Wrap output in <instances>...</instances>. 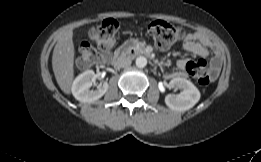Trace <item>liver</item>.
Listing matches in <instances>:
<instances>
[{
	"label": "liver",
	"mask_w": 261,
	"mask_h": 162,
	"mask_svg": "<svg viewBox=\"0 0 261 162\" xmlns=\"http://www.w3.org/2000/svg\"><path fill=\"white\" fill-rule=\"evenodd\" d=\"M74 55L73 29L62 30L53 50L52 69L60 89L65 94H70L74 79Z\"/></svg>",
	"instance_id": "1"
}]
</instances>
